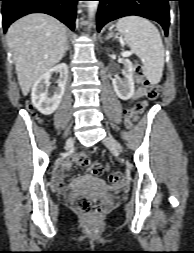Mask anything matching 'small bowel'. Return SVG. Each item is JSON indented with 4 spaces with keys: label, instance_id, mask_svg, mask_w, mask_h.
Here are the masks:
<instances>
[{
    "label": "small bowel",
    "instance_id": "obj_1",
    "mask_svg": "<svg viewBox=\"0 0 194 253\" xmlns=\"http://www.w3.org/2000/svg\"><path fill=\"white\" fill-rule=\"evenodd\" d=\"M148 91H147V88L143 85V86H140L136 92L134 93V95L131 97L130 99V102H133L137 99H140L142 97H144L145 95H147ZM137 119V116L134 118V120ZM71 166V163L70 161H65L61 167L60 170L56 171L54 174H53V180H54V183L56 185V187L60 190L64 189L65 188V177H64V172L66 170H68Z\"/></svg>",
    "mask_w": 194,
    "mask_h": 253
}]
</instances>
